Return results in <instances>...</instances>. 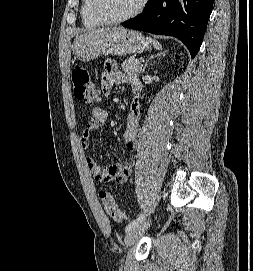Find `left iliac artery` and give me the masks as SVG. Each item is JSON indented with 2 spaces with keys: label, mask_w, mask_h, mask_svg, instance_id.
<instances>
[{
  "label": "left iliac artery",
  "mask_w": 253,
  "mask_h": 271,
  "mask_svg": "<svg viewBox=\"0 0 253 271\" xmlns=\"http://www.w3.org/2000/svg\"><path fill=\"white\" fill-rule=\"evenodd\" d=\"M145 217V214H141L139 215L136 219H134L133 221H131L125 228V231L128 232L129 230H131L133 227H135L136 225H138L139 223H141L143 221Z\"/></svg>",
  "instance_id": "1"
}]
</instances>
